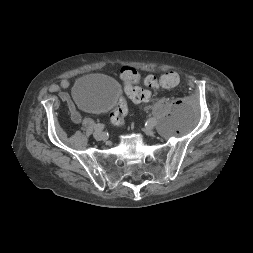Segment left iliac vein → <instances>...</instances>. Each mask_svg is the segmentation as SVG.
Returning <instances> with one entry per match:
<instances>
[{
    "mask_svg": "<svg viewBox=\"0 0 253 253\" xmlns=\"http://www.w3.org/2000/svg\"><path fill=\"white\" fill-rule=\"evenodd\" d=\"M145 132L150 135V136H153L154 135V130H153V126H146L145 127Z\"/></svg>",
    "mask_w": 253,
    "mask_h": 253,
    "instance_id": "4c4485c4",
    "label": "left iliac vein"
}]
</instances>
